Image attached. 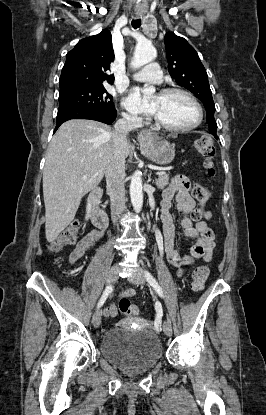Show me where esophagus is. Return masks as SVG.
<instances>
[{"label": "esophagus", "instance_id": "obj_1", "mask_svg": "<svg viewBox=\"0 0 266 415\" xmlns=\"http://www.w3.org/2000/svg\"><path fill=\"white\" fill-rule=\"evenodd\" d=\"M141 15L137 14V17L139 18ZM150 136V133L147 131H142L138 134V139L139 140H145Z\"/></svg>", "mask_w": 266, "mask_h": 415}]
</instances>
